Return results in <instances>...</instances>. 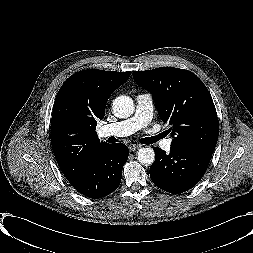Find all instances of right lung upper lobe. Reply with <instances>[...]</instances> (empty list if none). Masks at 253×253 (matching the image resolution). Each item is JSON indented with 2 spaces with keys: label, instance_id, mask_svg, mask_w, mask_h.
I'll list each match as a JSON object with an SVG mask.
<instances>
[{
  "label": "right lung upper lobe",
  "instance_id": "right-lung-upper-lobe-1",
  "mask_svg": "<svg viewBox=\"0 0 253 253\" xmlns=\"http://www.w3.org/2000/svg\"><path fill=\"white\" fill-rule=\"evenodd\" d=\"M131 72L83 70L73 74L56 96L51 119V143L56 161L70 184L83 175L97 151L107 145L95 131L105 105Z\"/></svg>",
  "mask_w": 253,
  "mask_h": 253
}]
</instances>
